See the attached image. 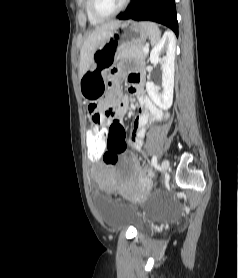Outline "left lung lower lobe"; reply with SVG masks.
<instances>
[{"instance_id": "0a47b994", "label": "left lung lower lobe", "mask_w": 238, "mask_h": 278, "mask_svg": "<svg viewBox=\"0 0 238 278\" xmlns=\"http://www.w3.org/2000/svg\"><path fill=\"white\" fill-rule=\"evenodd\" d=\"M120 20H149L163 24L178 36L175 0H131L124 13L117 16Z\"/></svg>"}]
</instances>
